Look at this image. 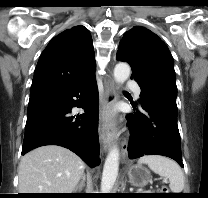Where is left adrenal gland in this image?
Listing matches in <instances>:
<instances>
[{
    "label": "left adrenal gland",
    "mask_w": 208,
    "mask_h": 198,
    "mask_svg": "<svg viewBox=\"0 0 208 198\" xmlns=\"http://www.w3.org/2000/svg\"><path fill=\"white\" fill-rule=\"evenodd\" d=\"M125 190V181H122V184H121V191H124Z\"/></svg>",
    "instance_id": "left-adrenal-gland-1"
}]
</instances>
